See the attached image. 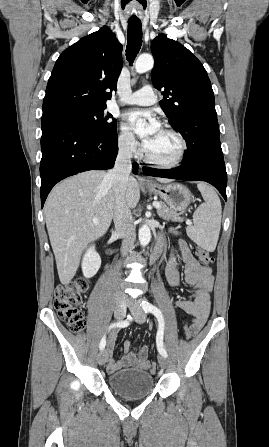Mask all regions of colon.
Returning a JSON list of instances; mask_svg holds the SVG:
<instances>
[{
	"label": "colon",
	"mask_w": 269,
	"mask_h": 447,
	"mask_svg": "<svg viewBox=\"0 0 269 447\" xmlns=\"http://www.w3.org/2000/svg\"><path fill=\"white\" fill-rule=\"evenodd\" d=\"M195 256L204 266H210L214 261L213 256L202 248L195 249ZM88 288L89 280L79 277L68 285L58 287L55 290L54 307L60 319L67 327L78 334L83 333L87 325L82 307L83 298ZM182 327L188 326L182 323ZM184 337L189 341L192 335L185 334ZM143 353H147V351L143 350ZM147 370L149 373L154 374L157 371V365L150 363L147 366Z\"/></svg>",
	"instance_id": "5ec220e1"
}]
</instances>
